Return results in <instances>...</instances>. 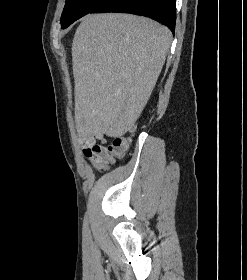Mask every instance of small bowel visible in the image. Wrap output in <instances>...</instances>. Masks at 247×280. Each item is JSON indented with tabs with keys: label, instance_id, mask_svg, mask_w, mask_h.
Masks as SVG:
<instances>
[{
	"label": "small bowel",
	"instance_id": "c3829d8e",
	"mask_svg": "<svg viewBox=\"0 0 247 280\" xmlns=\"http://www.w3.org/2000/svg\"><path fill=\"white\" fill-rule=\"evenodd\" d=\"M97 141L105 142V134L103 132H95L93 134H88L83 132L81 134L80 142L84 148V153L87 156L90 150L95 146L98 145Z\"/></svg>",
	"mask_w": 247,
	"mask_h": 280
}]
</instances>
